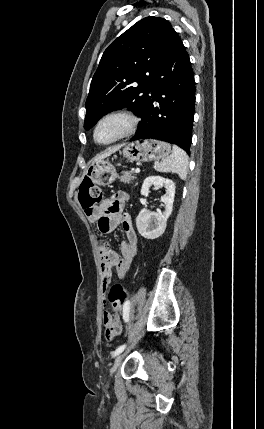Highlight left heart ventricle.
<instances>
[{
	"mask_svg": "<svg viewBox=\"0 0 264 429\" xmlns=\"http://www.w3.org/2000/svg\"><path fill=\"white\" fill-rule=\"evenodd\" d=\"M125 122L122 119H110L103 123L97 132L99 141H108L117 136L124 128Z\"/></svg>",
	"mask_w": 264,
	"mask_h": 429,
	"instance_id": "obj_1",
	"label": "left heart ventricle"
}]
</instances>
